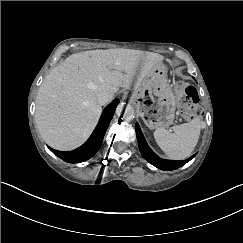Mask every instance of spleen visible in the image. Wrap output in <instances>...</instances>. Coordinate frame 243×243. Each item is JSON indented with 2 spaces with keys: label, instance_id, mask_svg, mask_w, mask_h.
Instances as JSON below:
<instances>
[{
  "label": "spleen",
  "instance_id": "obj_1",
  "mask_svg": "<svg viewBox=\"0 0 243 243\" xmlns=\"http://www.w3.org/2000/svg\"><path fill=\"white\" fill-rule=\"evenodd\" d=\"M173 133L163 127L154 131V138L162 151L170 158L182 160L187 158L198 143L201 121L194 118L189 123L176 125Z\"/></svg>",
  "mask_w": 243,
  "mask_h": 243
}]
</instances>
